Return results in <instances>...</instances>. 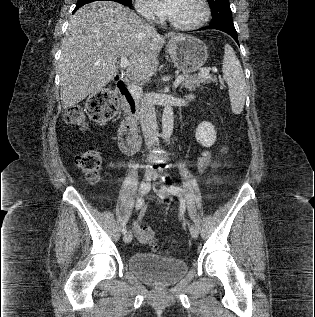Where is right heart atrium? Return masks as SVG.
<instances>
[{
    "mask_svg": "<svg viewBox=\"0 0 315 317\" xmlns=\"http://www.w3.org/2000/svg\"><path fill=\"white\" fill-rule=\"evenodd\" d=\"M134 1H135L136 10L141 16L148 19H151L154 17L150 6L145 0H134Z\"/></svg>",
    "mask_w": 315,
    "mask_h": 317,
    "instance_id": "1",
    "label": "right heart atrium"
}]
</instances>
